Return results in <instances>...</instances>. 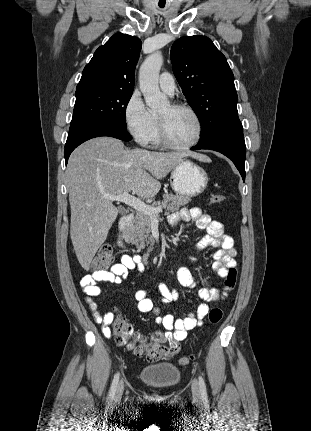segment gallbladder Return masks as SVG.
<instances>
[{
  "label": "gallbladder",
  "instance_id": "obj_1",
  "mask_svg": "<svg viewBox=\"0 0 311 431\" xmlns=\"http://www.w3.org/2000/svg\"><path fill=\"white\" fill-rule=\"evenodd\" d=\"M119 212H123V214H126V210L124 208H118Z\"/></svg>",
  "mask_w": 311,
  "mask_h": 431
}]
</instances>
